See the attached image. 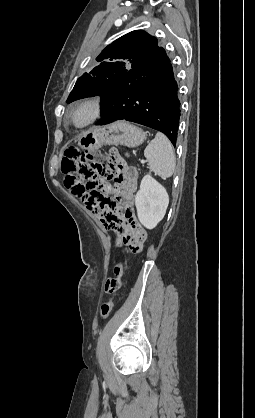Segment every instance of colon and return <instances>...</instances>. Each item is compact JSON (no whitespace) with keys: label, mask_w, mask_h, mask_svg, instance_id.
I'll list each match as a JSON object with an SVG mask.
<instances>
[{"label":"colon","mask_w":255,"mask_h":418,"mask_svg":"<svg viewBox=\"0 0 255 418\" xmlns=\"http://www.w3.org/2000/svg\"><path fill=\"white\" fill-rule=\"evenodd\" d=\"M61 170L65 174V186L84 202L96 220L108 221L113 231L115 228H143L133 215L120 219L116 202L105 196L110 190L109 181L117 173L115 163L106 165L100 153H85L76 147H68L64 151ZM119 238L120 235H117L118 244L122 242ZM117 264L124 266V276L125 262L120 261ZM112 308L113 299L103 302L100 308L101 317L106 319Z\"/></svg>","instance_id":"5ec220e1"}]
</instances>
